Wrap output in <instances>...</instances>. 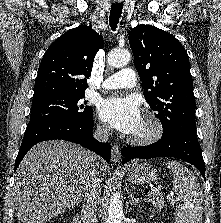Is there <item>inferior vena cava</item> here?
Returning a JSON list of instances; mask_svg holds the SVG:
<instances>
[{
	"label": "inferior vena cava",
	"mask_w": 221,
	"mask_h": 223,
	"mask_svg": "<svg viewBox=\"0 0 221 223\" xmlns=\"http://www.w3.org/2000/svg\"><path fill=\"white\" fill-rule=\"evenodd\" d=\"M110 128L102 125L97 126L94 137L99 141L105 142L108 140ZM101 180L97 177L95 165L92 166L86 180L84 204L82 208V221L83 223H92L96 219V211L98 200L100 196Z\"/></svg>",
	"instance_id": "602c4592"
}]
</instances>
